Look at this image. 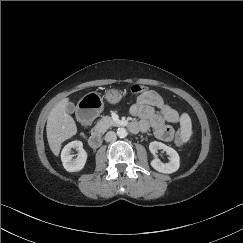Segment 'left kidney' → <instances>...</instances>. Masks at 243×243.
<instances>
[{
	"label": "left kidney",
	"mask_w": 243,
	"mask_h": 243,
	"mask_svg": "<svg viewBox=\"0 0 243 243\" xmlns=\"http://www.w3.org/2000/svg\"><path fill=\"white\" fill-rule=\"evenodd\" d=\"M149 150L156 154L158 150H164L169 156L168 163H162L159 158L155 157L151 161V166L158 172L170 174L177 171L180 167V158L178 153L171 147L157 141L150 142Z\"/></svg>",
	"instance_id": "obj_1"
}]
</instances>
